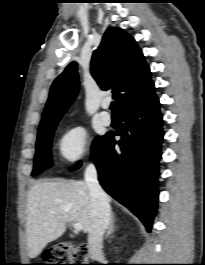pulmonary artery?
<instances>
[{"label":"pulmonary artery","mask_w":205,"mask_h":265,"mask_svg":"<svg viewBox=\"0 0 205 265\" xmlns=\"http://www.w3.org/2000/svg\"><path fill=\"white\" fill-rule=\"evenodd\" d=\"M102 107H103L104 110L108 109L109 103L108 102H104ZM101 120H102L103 124H105V125H110L111 122H112L111 115L107 111H103L101 113Z\"/></svg>","instance_id":"pulmonary-artery-1"}]
</instances>
